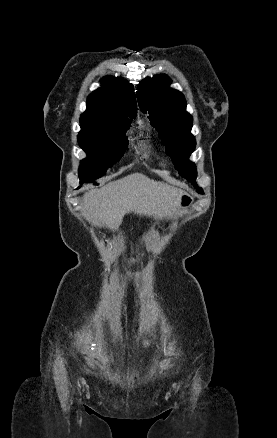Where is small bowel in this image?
<instances>
[{"mask_svg": "<svg viewBox=\"0 0 277 438\" xmlns=\"http://www.w3.org/2000/svg\"><path fill=\"white\" fill-rule=\"evenodd\" d=\"M82 344H88V341H82ZM92 353H95V350H92Z\"/></svg>", "mask_w": 277, "mask_h": 438, "instance_id": "1", "label": "small bowel"}]
</instances>
